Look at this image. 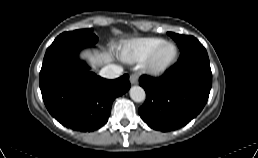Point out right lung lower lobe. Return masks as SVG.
Instances as JSON below:
<instances>
[{"instance_id":"right-lung-lower-lobe-1","label":"right lung lower lobe","mask_w":258,"mask_h":158,"mask_svg":"<svg viewBox=\"0 0 258 158\" xmlns=\"http://www.w3.org/2000/svg\"><path fill=\"white\" fill-rule=\"evenodd\" d=\"M93 44L52 43L46 51L39 74V86L49 113L62 125L77 131L103 126L113 100L130 88L127 74L107 80L88 71L78 60L81 49Z\"/></svg>"}]
</instances>
